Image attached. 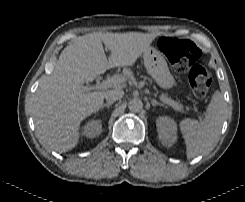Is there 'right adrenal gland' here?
<instances>
[{"label":"right adrenal gland","mask_w":245,"mask_h":202,"mask_svg":"<svg viewBox=\"0 0 245 202\" xmlns=\"http://www.w3.org/2000/svg\"><path fill=\"white\" fill-rule=\"evenodd\" d=\"M112 104H113V102H107V103H105V104H102L101 106H100V108H99V110H102L103 108H110L111 106H112Z\"/></svg>","instance_id":"obj_1"}]
</instances>
